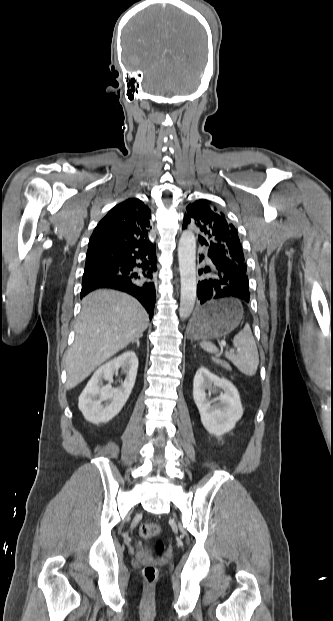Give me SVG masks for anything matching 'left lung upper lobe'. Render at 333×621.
I'll return each instance as SVG.
<instances>
[{
    "label": "left lung upper lobe",
    "mask_w": 333,
    "mask_h": 621,
    "mask_svg": "<svg viewBox=\"0 0 333 621\" xmlns=\"http://www.w3.org/2000/svg\"><path fill=\"white\" fill-rule=\"evenodd\" d=\"M186 210L183 228L194 227L199 233V240H205L209 247L246 269L237 230L223 212L208 200L195 201L189 204Z\"/></svg>",
    "instance_id": "1"
}]
</instances>
